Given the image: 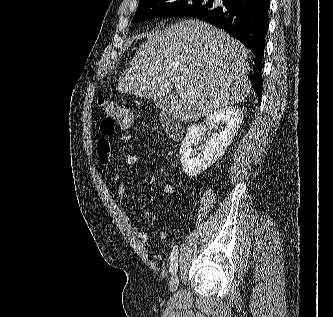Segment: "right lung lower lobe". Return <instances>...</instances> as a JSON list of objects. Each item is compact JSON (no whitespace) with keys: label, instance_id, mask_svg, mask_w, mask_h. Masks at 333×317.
<instances>
[{"label":"right lung lower lobe","instance_id":"right-lung-lower-lobe-1","mask_svg":"<svg viewBox=\"0 0 333 317\" xmlns=\"http://www.w3.org/2000/svg\"><path fill=\"white\" fill-rule=\"evenodd\" d=\"M269 6V0H224L223 6H216L194 16L229 32L254 54L255 68L250 77L259 104L262 95L261 69L269 25Z\"/></svg>","mask_w":333,"mask_h":317}]
</instances>
